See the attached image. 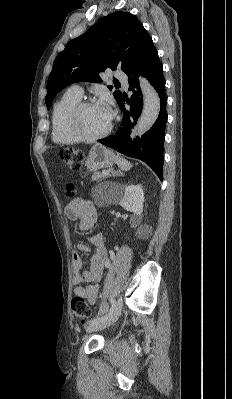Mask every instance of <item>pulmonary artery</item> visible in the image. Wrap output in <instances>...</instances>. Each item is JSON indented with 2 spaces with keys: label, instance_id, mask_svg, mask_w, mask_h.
Returning a JSON list of instances; mask_svg holds the SVG:
<instances>
[{
  "label": "pulmonary artery",
  "instance_id": "1",
  "mask_svg": "<svg viewBox=\"0 0 232 399\" xmlns=\"http://www.w3.org/2000/svg\"><path fill=\"white\" fill-rule=\"evenodd\" d=\"M111 74L113 75L114 80L124 79V74L122 69H113L111 71ZM69 88L70 89H68L67 91L68 96H77V97L82 96V88H83L82 83H70Z\"/></svg>",
  "mask_w": 232,
  "mask_h": 399
}]
</instances>
